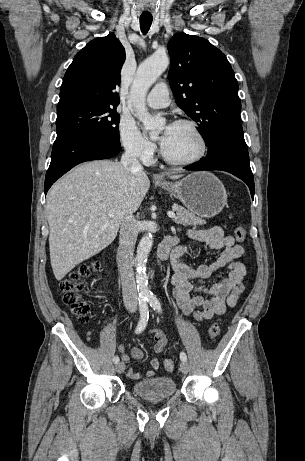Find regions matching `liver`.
Here are the masks:
<instances>
[{"label":"liver","instance_id":"liver-1","mask_svg":"<svg viewBox=\"0 0 305 461\" xmlns=\"http://www.w3.org/2000/svg\"><path fill=\"white\" fill-rule=\"evenodd\" d=\"M149 188L145 172H128L121 163L103 160L80 164L55 183L46 200L55 278L62 280L113 242L123 217L138 210Z\"/></svg>","mask_w":305,"mask_h":461}]
</instances>
